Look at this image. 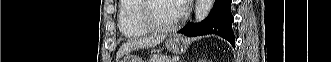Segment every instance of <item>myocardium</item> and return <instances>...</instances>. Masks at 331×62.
I'll return each instance as SVG.
<instances>
[{
	"label": "myocardium",
	"instance_id": "1",
	"mask_svg": "<svg viewBox=\"0 0 331 62\" xmlns=\"http://www.w3.org/2000/svg\"><path fill=\"white\" fill-rule=\"evenodd\" d=\"M152 1L154 0H140L138 11V20L140 24L150 32H168L178 27L182 19V15L170 24L161 25L156 22L150 15Z\"/></svg>",
	"mask_w": 331,
	"mask_h": 62
}]
</instances>
